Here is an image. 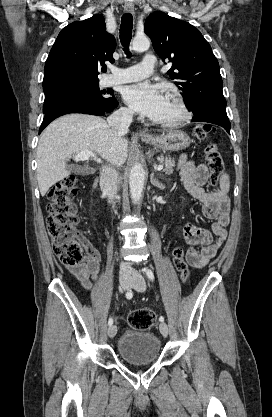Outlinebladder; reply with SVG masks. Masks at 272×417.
I'll return each mask as SVG.
<instances>
[{"mask_svg":"<svg viewBox=\"0 0 272 417\" xmlns=\"http://www.w3.org/2000/svg\"><path fill=\"white\" fill-rule=\"evenodd\" d=\"M120 357L130 364L154 362L161 352V341L153 333L126 330L118 340Z\"/></svg>","mask_w":272,"mask_h":417,"instance_id":"obj_1","label":"bladder"}]
</instances>
